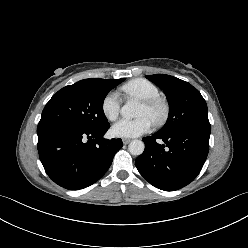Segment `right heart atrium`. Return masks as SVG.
Returning <instances> with one entry per match:
<instances>
[{
	"instance_id": "right-heart-atrium-1",
	"label": "right heart atrium",
	"mask_w": 248,
	"mask_h": 248,
	"mask_svg": "<svg viewBox=\"0 0 248 248\" xmlns=\"http://www.w3.org/2000/svg\"><path fill=\"white\" fill-rule=\"evenodd\" d=\"M121 104L122 101L117 92L107 93L101 103L102 113L106 119L114 121L119 116Z\"/></svg>"
}]
</instances>
